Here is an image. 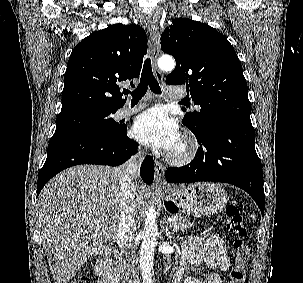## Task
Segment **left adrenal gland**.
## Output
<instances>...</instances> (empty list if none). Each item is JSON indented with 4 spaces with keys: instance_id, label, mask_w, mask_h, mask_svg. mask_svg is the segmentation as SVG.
<instances>
[{
    "instance_id": "obj_1",
    "label": "left adrenal gland",
    "mask_w": 303,
    "mask_h": 283,
    "mask_svg": "<svg viewBox=\"0 0 303 283\" xmlns=\"http://www.w3.org/2000/svg\"><path fill=\"white\" fill-rule=\"evenodd\" d=\"M165 234H166V236H167L170 240H172L173 237L171 236L169 226H166V228H165Z\"/></svg>"
}]
</instances>
